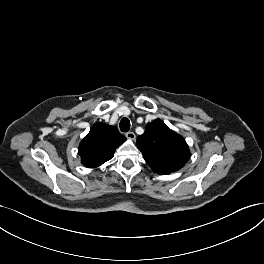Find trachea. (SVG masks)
I'll return each instance as SVG.
<instances>
[{"mask_svg":"<svg viewBox=\"0 0 264 264\" xmlns=\"http://www.w3.org/2000/svg\"><path fill=\"white\" fill-rule=\"evenodd\" d=\"M130 129V121L128 118H122L120 121V130L122 132H128Z\"/></svg>","mask_w":264,"mask_h":264,"instance_id":"obj_1","label":"trachea"}]
</instances>
